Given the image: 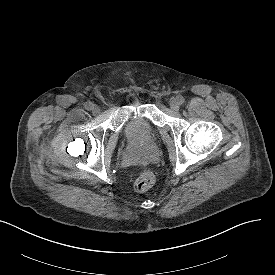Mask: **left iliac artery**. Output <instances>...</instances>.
<instances>
[{"label":"left iliac artery","mask_w":275,"mask_h":275,"mask_svg":"<svg viewBox=\"0 0 275 275\" xmlns=\"http://www.w3.org/2000/svg\"><path fill=\"white\" fill-rule=\"evenodd\" d=\"M177 99H178V101H179V104H183L184 101H185L184 97L181 96V95L177 96Z\"/></svg>","instance_id":"44dca946"}]
</instances>
